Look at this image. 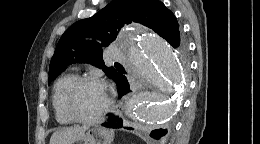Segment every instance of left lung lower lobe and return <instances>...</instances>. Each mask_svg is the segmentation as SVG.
Instances as JSON below:
<instances>
[{
  "mask_svg": "<svg viewBox=\"0 0 260 144\" xmlns=\"http://www.w3.org/2000/svg\"><path fill=\"white\" fill-rule=\"evenodd\" d=\"M184 42L180 31H178L171 39V41L169 42V44L171 46H173L174 48H177L180 46V44H182ZM125 73V72H124ZM124 73H122L121 77L119 78L117 84L118 87V92H119V98H121L122 96H124L125 94H127L128 92H130V86L129 83L127 81V78L125 75H123ZM102 126L106 127V128H122L123 127V121L121 118H119L118 116H111L108 121L104 124H102ZM126 129H132L131 127H124ZM166 130L163 129H156L154 131L151 132V137L155 138V139H160L162 136H164L166 134Z\"/></svg>",
  "mask_w": 260,
  "mask_h": 144,
  "instance_id": "obj_1",
  "label": "left lung lower lobe"
}]
</instances>
